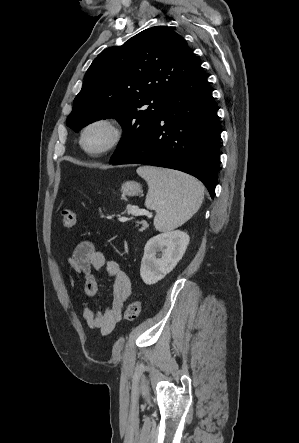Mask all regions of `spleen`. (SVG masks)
Segmentation results:
<instances>
[{
	"label": "spleen",
	"instance_id": "obj_1",
	"mask_svg": "<svg viewBox=\"0 0 299 443\" xmlns=\"http://www.w3.org/2000/svg\"><path fill=\"white\" fill-rule=\"evenodd\" d=\"M137 173L148 183L145 206L156 211V230H173L189 220L200 208L204 188L195 178L151 166L139 167Z\"/></svg>",
	"mask_w": 299,
	"mask_h": 443
}]
</instances>
